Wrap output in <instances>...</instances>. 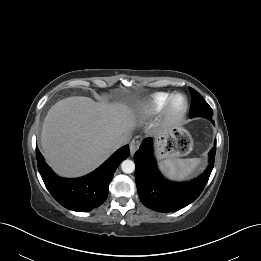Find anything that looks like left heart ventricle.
I'll use <instances>...</instances> for the list:
<instances>
[{
  "label": "left heart ventricle",
  "mask_w": 261,
  "mask_h": 261,
  "mask_svg": "<svg viewBox=\"0 0 261 261\" xmlns=\"http://www.w3.org/2000/svg\"><path fill=\"white\" fill-rule=\"evenodd\" d=\"M175 108L178 110L183 106V99L177 98L174 103Z\"/></svg>",
  "instance_id": "b2bd125f"
}]
</instances>
